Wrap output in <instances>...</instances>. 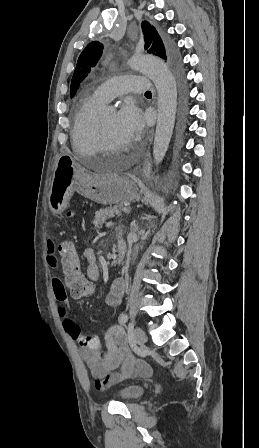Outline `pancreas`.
I'll return each instance as SVG.
<instances>
[{
	"label": "pancreas",
	"mask_w": 259,
	"mask_h": 448,
	"mask_svg": "<svg viewBox=\"0 0 259 448\" xmlns=\"http://www.w3.org/2000/svg\"><path fill=\"white\" fill-rule=\"evenodd\" d=\"M115 214L121 216L120 210H117V208H107V210H99V212H96L93 220L95 228H101L102 224H106V220H109V218H114Z\"/></svg>",
	"instance_id": "cf45deb5"
}]
</instances>
